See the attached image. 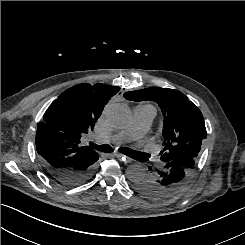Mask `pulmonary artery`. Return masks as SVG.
<instances>
[{"instance_id":"obj_1","label":"pulmonary artery","mask_w":245,"mask_h":245,"mask_svg":"<svg viewBox=\"0 0 245 245\" xmlns=\"http://www.w3.org/2000/svg\"><path fill=\"white\" fill-rule=\"evenodd\" d=\"M156 116V109L152 105H138L134 108L133 117L129 125L110 140L121 144L141 137L150 127Z\"/></svg>"}]
</instances>
